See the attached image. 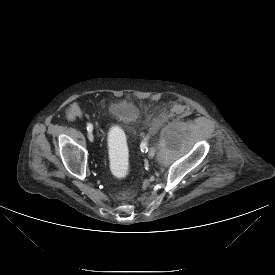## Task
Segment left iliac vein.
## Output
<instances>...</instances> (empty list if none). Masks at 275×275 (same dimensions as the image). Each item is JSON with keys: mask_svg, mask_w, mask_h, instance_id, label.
I'll return each mask as SVG.
<instances>
[{"mask_svg": "<svg viewBox=\"0 0 275 275\" xmlns=\"http://www.w3.org/2000/svg\"><path fill=\"white\" fill-rule=\"evenodd\" d=\"M155 153H156V148L152 147V148H150L148 155H149V157L152 158L155 155Z\"/></svg>", "mask_w": 275, "mask_h": 275, "instance_id": "left-iliac-vein-1", "label": "left iliac vein"}]
</instances>
